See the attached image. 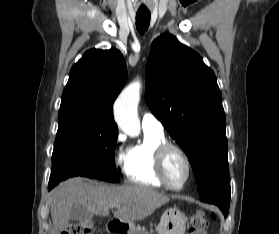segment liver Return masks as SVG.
<instances>
[{
	"label": "liver",
	"mask_w": 279,
	"mask_h": 234,
	"mask_svg": "<svg viewBox=\"0 0 279 234\" xmlns=\"http://www.w3.org/2000/svg\"><path fill=\"white\" fill-rule=\"evenodd\" d=\"M169 200L163 193L143 185L110 186L72 178L52 191V234H61L66 229L75 204L85 207L93 215L104 217L109 216V209L116 204L114 217L121 223H132L148 217Z\"/></svg>",
	"instance_id": "1"
}]
</instances>
